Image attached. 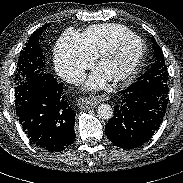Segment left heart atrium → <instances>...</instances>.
Segmentation results:
<instances>
[{
  "instance_id": "1",
  "label": "left heart atrium",
  "mask_w": 183,
  "mask_h": 183,
  "mask_svg": "<svg viewBox=\"0 0 183 183\" xmlns=\"http://www.w3.org/2000/svg\"><path fill=\"white\" fill-rule=\"evenodd\" d=\"M105 77L101 73L93 75L86 83V88L89 90H96L105 84Z\"/></svg>"
}]
</instances>
